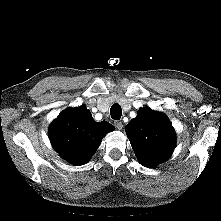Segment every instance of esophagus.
<instances>
[{"label": "esophagus", "instance_id": "esophagus-1", "mask_svg": "<svg viewBox=\"0 0 221 221\" xmlns=\"http://www.w3.org/2000/svg\"><path fill=\"white\" fill-rule=\"evenodd\" d=\"M114 124L118 130H121L123 128V124L121 121H115Z\"/></svg>", "mask_w": 221, "mask_h": 221}]
</instances>
